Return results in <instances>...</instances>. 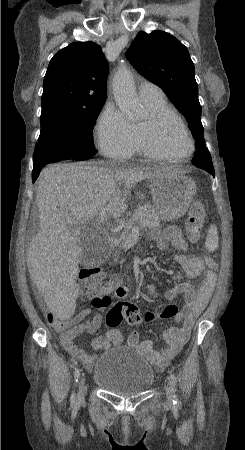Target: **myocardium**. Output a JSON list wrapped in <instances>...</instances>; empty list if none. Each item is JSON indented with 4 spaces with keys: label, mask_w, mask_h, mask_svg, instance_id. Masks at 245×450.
<instances>
[{
    "label": "myocardium",
    "mask_w": 245,
    "mask_h": 450,
    "mask_svg": "<svg viewBox=\"0 0 245 450\" xmlns=\"http://www.w3.org/2000/svg\"><path fill=\"white\" fill-rule=\"evenodd\" d=\"M167 121L175 122L185 133L189 143L190 151L185 155L172 156L164 153L157 144L156 136L161 127ZM140 137L145 155L150 159L155 160H186L189 159L195 152V141L188 129V127L170 112H160L151 114L146 122L140 128Z\"/></svg>",
    "instance_id": "myocardium-1"
}]
</instances>
